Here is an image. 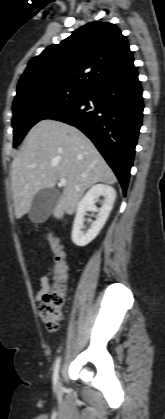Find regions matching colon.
<instances>
[{
    "instance_id": "colon-1",
    "label": "colon",
    "mask_w": 165,
    "mask_h": 419,
    "mask_svg": "<svg viewBox=\"0 0 165 419\" xmlns=\"http://www.w3.org/2000/svg\"><path fill=\"white\" fill-rule=\"evenodd\" d=\"M48 241L54 254V283L51 289L43 296L38 307V312L45 327L49 331H56L63 319L66 284L69 274L64 251L59 239L53 235H49Z\"/></svg>"
}]
</instances>
